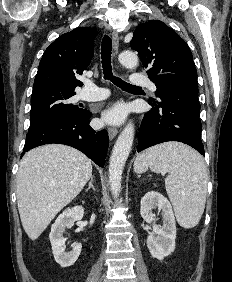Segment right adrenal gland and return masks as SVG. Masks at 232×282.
I'll list each match as a JSON object with an SVG mask.
<instances>
[{"label": "right adrenal gland", "mask_w": 232, "mask_h": 282, "mask_svg": "<svg viewBox=\"0 0 232 282\" xmlns=\"http://www.w3.org/2000/svg\"><path fill=\"white\" fill-rule=\"evenodd\" d=\"M92 182H93V176H91V179H90L88 188L86 189V192H88L90 189L95 191V187L93 186Z\"/></svg>", "instance_id": "2a0ac1e0"}]
</instances>
